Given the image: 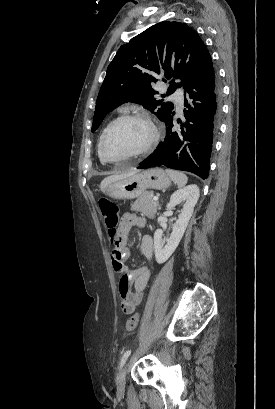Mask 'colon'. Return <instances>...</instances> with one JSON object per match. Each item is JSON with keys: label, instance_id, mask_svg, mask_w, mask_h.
<instances>
[{"label": "colon", "instance_id": "obj_1", "mask_svg": "<svg viewBox=\"0 0 275 409\" xmlns=\"http://www.w3.org/2000/svg\"><path fill=\"white\" fill-rule=\"evenodd\" d=\"M99 209L104 217L105 225L107 229L108 238L112 245L116 244L118 228H119V208L118 205L107 197H102L99 200ZM139 322V314L134 313L127 319L126 330L133 331L137 327Z\"/></svg>", "mask_w": 275, "mask_h": 409}]
</instances>
